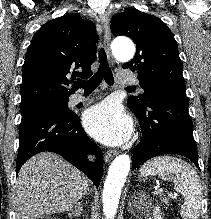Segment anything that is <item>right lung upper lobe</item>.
<instances>
[{"label":"right lung upper lobe","mask_w":211,"mask_h":219,"mask_svg":"<svg viewBox=\"0 0 211 219\" xmlns=\"http://www.w3.org/2000/svg\"><path fill=\"white\" fill-rule=\"evenodd\" d=\"M95 24L68 14L45 23L34 35L22 67L21 104L69 99L78 89L71 79L92 75L96 59Z\"/></svg>","instance_id":"right-lung-upper-lobe-1"}]
</instances>
